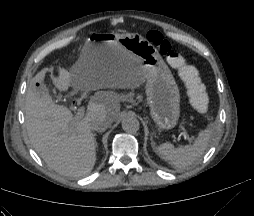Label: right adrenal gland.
<instances>
[{
    "label": "right adrenal gland",
    "instance_id": "2a0ac1e0",
    "mask_svg": "<svg viewBox=\"0 0 254 216\" xmlns=\"http://www.w3.org/2000/svg\"><path fill=\"white\" fill-rule=\"evenodd\" d=\"M95 135H96V134H94V139H95V146H97V142H96V138H95Z\"/></svg>",
    "mask_w": 254,
    "mask_h": 216
}]
</instances>
